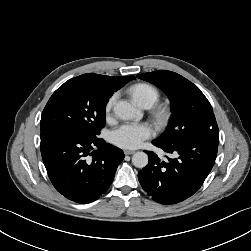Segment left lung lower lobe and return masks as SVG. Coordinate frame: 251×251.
<instances>
[{"mask_svg":"<svg viewBox=\"0 0 251 251\" xmlns=\"http://www.w3.org/2000/svg\"><path fill=\"white\" fill-rule=\"evenodd\" d=\"M219 138L196 137L177 144L152 143L176 158L161 160L148 152L149 163L138 173L139 182L152 199L171 205L196 193L210 173L217 156Z\"/></svg>","mask_w":251,"mask_h":251,"instance_id":"obj_1","label":"left lung lower lobe"}]
</instances>
